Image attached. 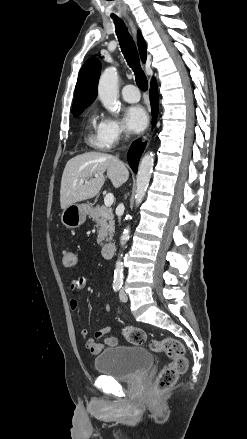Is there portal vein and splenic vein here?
<instances>
[{"mask_svg":"<svg viewBox=\"0 0 247 439\" xmlns=\"http://www.w3.org/2000/svg\"><path fill=\"white\" fill-rule=\"evenodd\" d=\"M81 183H84V181H82ZM113 201H114V196L112 193H108L104 198V204L106 207H110L113 204Z\"/></svg>","mask_w":247,"mask_h":439,"instance_id":"1","label":"portal vein and splenic vein"}]
</instances>
